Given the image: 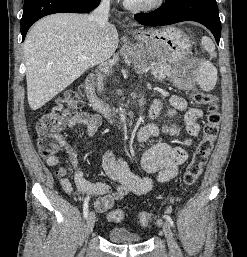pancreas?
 <instances>
[{
  "mask_svg": "<svg viewBox=\"0 0 247 257\" xmlns=\"http://www.w3.org/2000/svg\"><path fill=\"white\" fill-rule=\"evenodd\" d=\"M135 64L137 70H143L144 68H146V66L141 62L135 61ZM151 70L152 75L157 80L164 79L172 72L170 65H168L167 63H153L151 65Z\"/></svg>",
  "mask_w": 247,
  "mask_h": 257,
  "instance_id": "obj_1",
  "label": "pancreas"
}]
</instances>
